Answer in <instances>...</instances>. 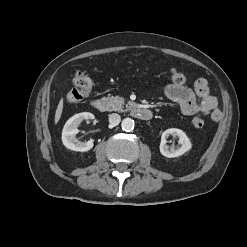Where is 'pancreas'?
<instances>
[{
  "label": "pancreas",
  "instance_id": "cf45deb5",
  "mask_svg": "<svg viewBox=\"0 0 247 247\" xmlns=\"http://www.w3.org/2000/svg\"><path fill=\"white\" fill-rule=\"evenodd\" d=\"M108 100L110 102L112 110L118 111V112H126L133 105L131 101H128V103L125 104L126 100L123 97H119V96H115V97L111 96L108 98ZM124 105L126 109H124Z\"/></svg>",
  "mask_w": 247,
  "mask_h": 247
}]
</instances>
